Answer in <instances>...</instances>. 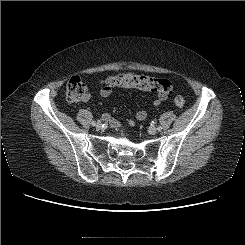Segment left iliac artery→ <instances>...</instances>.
<instances>
[{
    "label": "left iliac artery",
    "mask_w": 245,
    "mask_h": 245,
    "mask_svg": "<svg viewBox=\"0 0 245 245\" xmlns=\"http://www.w3.org/2000/svg\"><path fill=\"white\" fill-rule=\"evenodd\" d=\"M152 124H155V122L154 121H152ZM162 128L159 126L158 127V130H161Z\"/></svg>",
    "instance_id": "left-iliac-artery-1"
}]
</instances>
